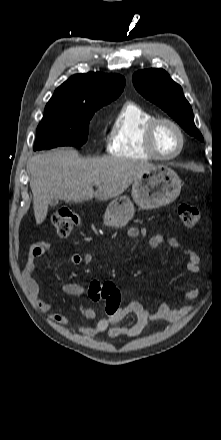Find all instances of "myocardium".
<instances>
[{
    "mask_svg": "<svg viewBox=\"0 0 221 440\" xmlns=\"http://www.w3.org/2000/svg\"><path fill=\"white\" fill-rule=\"evenodd\" d=\"M162 123H167V124L171 125L177 131V133L179 135V139H180L179 147L173 154H170V155H163V154L159 153V151L157 150V148L155 146V142H154L155 133H156L158 126ZM144 141H145L146 149L150 153V155L154 159H157L160 161H170V160L177 158L182 153V151L185 147V142H186L185 134H184V131H183L182 127L180 126V124L178 122H176L175 120L168 118V117H154V118H152L145 126Z\"/></svg>",
    "mask_w": 221,
    "mask_h": 440,
    "instance_id": "f54148a6",
    "label": "myocardium"
}]
</instances>
